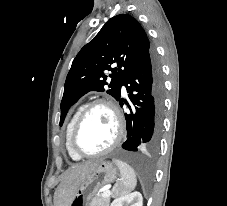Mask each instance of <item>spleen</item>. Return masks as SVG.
<instances>
[{
    "label": "spleen",
    "instance_id": "1",
    "mask_svg": "<svg viewBox=\"0 0 227 206\" xmlns=\"http://www.w3.org/2000/svg\"><path fill=\"white\" fill-rule=\"evenodd\" d=\"M113 161L118 166L121 174V180L114 186L113 194L114 196L127 194L137 184L135 172L127 163L118 159H114Z\"/></svg>",
    "mask_w": 227,
    "mask_h": 206
}]
</instances>
